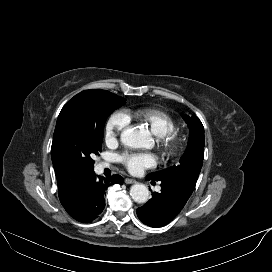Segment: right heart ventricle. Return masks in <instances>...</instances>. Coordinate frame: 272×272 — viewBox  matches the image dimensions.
<instances>
[{
    "instance_id": "right-heart-ventricle-1",
    "label": "right heart ventricle",
    "mask_w": 272,
    "mask_h": 272,
    "mask_svg": "<svg viewBox=\"0 0 272 272\" xmlns=\"http://www.w3.org/2000/svg\"><path fill=\"white\" fill-rule=\"evenodd\" d=\"M131 118L144 121L156 136L166 135L177 130L178 125L170 115L155 109H144L136 113L126 112Z\"/></svg>"
}]
</instances>
